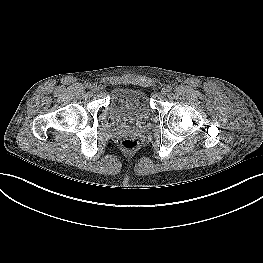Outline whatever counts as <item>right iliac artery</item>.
Instances as JSON below:
<instances>
[{
  "label": "right iliac artery",
  "mask_w": 263,
  "mask_h": 263,
  "mask_svg": "<svg viewBox=\"0 0 263 263\" xmlns=\"http://www.w3.org/2000/svg\"><path fill=\"white\" fill-rule=\"evenodd\" d=\"M88 88H92V85L91 84H87L86 85Z\"/></svg>",
  "instance_id": "82829eb1"
}]
</instances>
